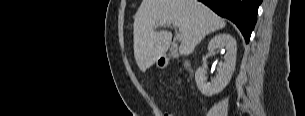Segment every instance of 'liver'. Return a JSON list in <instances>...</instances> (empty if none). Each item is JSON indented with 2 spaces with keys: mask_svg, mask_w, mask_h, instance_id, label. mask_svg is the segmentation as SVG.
I'll return each instance as SVG.
<instances>
[{
  "mask_svg": "<svg viewBox=\"0 0 305 116\" xmlns=\"http://www.w3.org/2000/svg\"><path fill=\"white\" fill-rule=\"evenodd\" d=\"M160 21L175 24L182 35L179 53L191 54L208 34L226 26L225 20L197 0H143L134 18V56L145 72L170 47L172 34L154 31Z\"/></svg>",
  "mask_w": 305,
  "mask_h": 116,
  "instance_id": "obj_1",
  "label": "liver"
}]
</instances>
